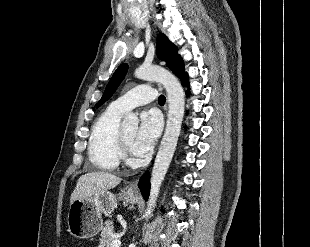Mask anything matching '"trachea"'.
Instances as JSON below:
<instances>
[{"mask_svg": "<svg viewBox=\"0 0 310 247\" xmlns=\"http://www.w3.org/2000/svg\"><path fill=\"white\" fill-rule=\"evenodd\" d=\"M165 101H166V98L164 95H160L159 98H158V103L163 105L165 104Z\"/></svg>", "mask_w": 310, "mask_h": 247, "instance_id": "trachea-1", "label": "trachea"}]
</instances>
